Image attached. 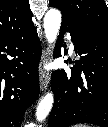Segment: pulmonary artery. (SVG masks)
<instances>
[{
    "instance_id": "e3ab8cb5",
    "label": "pulmonary artery",
    "mask_w": 108,
    "mask_h": 127,
    "mask_svg": "<svg viewBox=\"0 0 108 127\" xmlns=\"http://www.w3.org/2000/svg\"><path fill=\"white\" fill-rule=\"evenodd\" d=\"M70 49L73 51L74 50V45H73V43L71 42V44H70Z\"/></svg>"
}]
</instances>
